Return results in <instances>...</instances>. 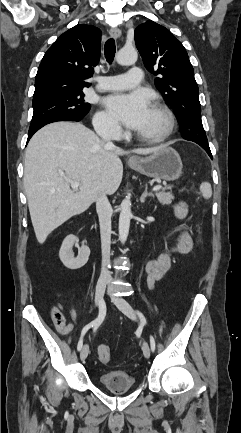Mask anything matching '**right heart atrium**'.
<instances>
[{
  "instance_id": "d8ad5b80",
  "label": "right heart atrium",
  "mask_w": 241,
  "mask_h": 433,
  "mask_svg": "<svg viewBox=\"0 0 241 433\" xmlns=\"http://www.w3.org/2000/svg\"><path fill=\"white\" fill-rule=\"evenodd\" d=\"M94 127L101 134L118 136L121 133V127L117 121L104 111L96 113Z\"/></svg>"
}]
</instances>
